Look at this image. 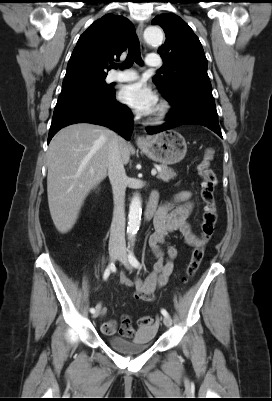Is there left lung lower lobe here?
Segmentation results:
<instances>
[{"label":"left lung lower lobe","instance_id":"0a47b994","mask_svg":"<svg viewBox=\"0 0 272 401\" xmlns=\"http://www.w3.org/2000/svg\"><path fill=\"white\" fill-rule=\"evenodd\" d=\"M167 101L172 109L167 114V123L148 127V134H155L184 124H199L208 127L221 138L218 115L212 94L201 92H179Z\"/></svg>","mask_w":272,"mask_h":401}]
</instances>
